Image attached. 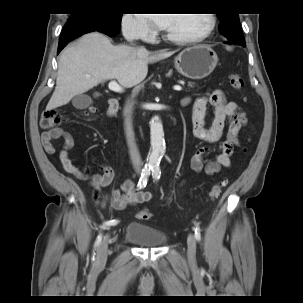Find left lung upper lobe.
Listing matches in <instances>:
<instances>
[{
  "label": "left lung upper lobe",
  "instance_id": "1",
  "mask_svg": "<svg viewBox=\"0 0 303 303\" xmlns=\"http://www.w3.org/2000/svg\"><path fill=\"white\" fill-rule=\"evenodd\" d=\"M218 17L219 30L222 34L226 35L232 43H245L237 13H220Z\"/></svg>",
  "mask_w": 303,
  "mask_h": 303
}]
</instances>
